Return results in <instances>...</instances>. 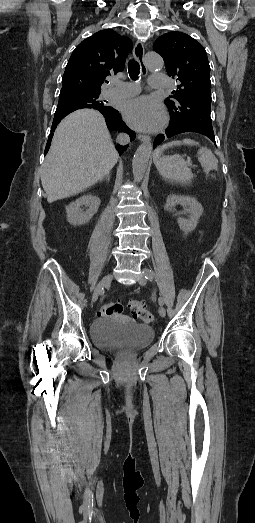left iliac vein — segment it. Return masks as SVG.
I'll return each instance as SVG.
<instances>
[{
	"label": "left iliac vein",
	"mask_w": 255,
	"mask_h": 523,
	"mask_svg": "<svg viewBox=\"0 0 255 523\" xmlns=\"http://www.w3.org/2000/svg\"><path fill=\"white\" fill-rule=\"evenodd\" d=\"M144 270H145V269H144ZM138 282H139V284L142 285V286L146 285L147 280H146V278H145L144 271H143V274L139 277ZM158 312H159V315H160L161 317H165V315H166V310H165V308H164L162 305L159 306V308H158Z\"/></svg>",
	"instance_id": "obj_1"
}]
</instances>
